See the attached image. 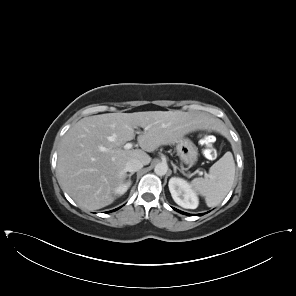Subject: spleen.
<instances>
[{"mask_svg":"<svg viewBox=\"0 0 296 296\" xmlns=\"http://www.w3.org/2000/svg\"><path fill=\"white\" fill-rule=\"evenodd\" d=\"M235 176V163L230 151L226 152L210 169L205 178H195L193 189L205 197L208 207L219 205L230 191Z\"/></svg>","mask_w":296,"mask_h":296,"instance_id":"obj_1","label":"spleen"}]
</instances>
